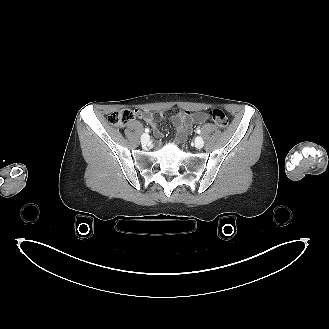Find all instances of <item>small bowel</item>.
<instances>
[{
    "label": "small bowel",
    "instance_id": "obj_1",
    "mask_svg": "<svg viewBox=\"0 0 329 329\" xmlns=\"http://www.w3.org/2000/svg\"><path fill=\"white\" fill-rule=\"evenodd\" d=\"M171 119L177 131V142H183L186 139V136L191 132L193 125L195 123H202L205 121V118L200 114L190 113V112H180L178 108H173ZM160 118L166 116L165 112H160L158 114ZM147 123H149L156 137H162V131L156 123V118L152 113L140 114Z\"/></svg>",
    "mask_w": 329,
    "mask_h": 329
}]
</instances>
